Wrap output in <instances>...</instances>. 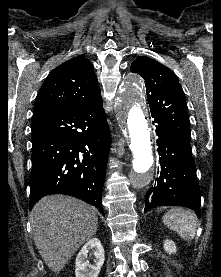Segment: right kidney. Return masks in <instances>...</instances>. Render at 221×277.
Returning a JSON list of instances; mask_svg holds the SVG:
<instances>
[{
  "label": "right kidney",
  "instance_id": "obj_1",
  "mask_svg": "<svg viewBox=\"0 0 221 277\" xmlns=\"http://www.w3.org/2000/svg\"><path fill=\"white\" fill-rule=\"evenodd\" d=\"M89 256L94 255L93 264H89ZM104 249L98 238L90 239L76 257V277H98L104 263Z\"/></svg>",
  "mask_w": 221,
  "mask_h": 277
}]
</instances>
